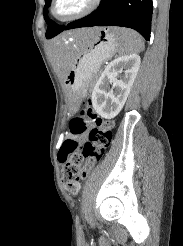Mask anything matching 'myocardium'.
Wrapping results in <instances>:
<instances>
[{
  "mask_svg": "<svg viewBox=\"0 0 183 246\" xmlns=\"http://www.w3.org/2000/svg\"><path fill=\"white\" fill-rule=\"evenodd\" d=\"M100 1L101 0H89L87 5L82 10L78 11L77 13L66 16V17H60L56 14V11H55V7H56L58 0H52L51 5H50V14L55 20L60 21V22L74 21L94 11L99 5Z\"/></svg>",
  "mask_w": 183,
  "mask_h": 246,
  "instance_id": "1",
  "label": "myocardium"
}]
</instances>
